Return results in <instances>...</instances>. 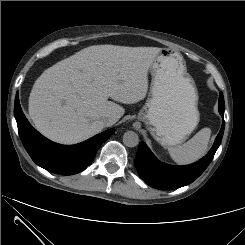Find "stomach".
Listing matches in <instances>:
<instances>
[{"label": "stomach", "instance_id": "0dacf381", "mask_svg": "<svg viewBox=\"0 0 245 245\" xmlns=\"http://www.w3.org/2000/svg\"><path fill=\"white\" fill-rule=\"evenodd\" d=\"M152 76L147 101L138 114L163 146L184 142L199 123L198 93L187 73L183 56L163 48L150 67Z\"/></svg>", "mask_w": 245, "mask_h": 245}]
</instances>
